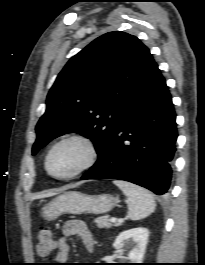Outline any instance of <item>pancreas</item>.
Returning <instances> with one entry per match:
<instances>
[{
  "label": "pancreas",
  "instance_id": "1",
  "mask_svg": "<svg viewBox=\"0 0 205 265\" xmlns=\"http://www.w3.org/2000/svg\"><path fill=\"white\" fill-rule=\"evenodd\" d=\"M94 222L97 224L98 228H110L111 226H113L108 216L98 217L94 220ZM117 225L118 224H115V226Z\"/></svg>",
  "mask_w": 205,
  "mask_h": 265
}]
</instances>
